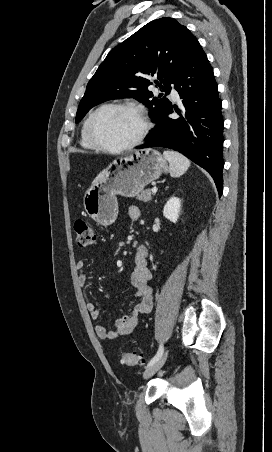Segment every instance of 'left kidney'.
<instances>
[{"mask_svg": "<svg viewBox=\"0 0 272 452\" xmlns=\"http://www.w3.org/2000/svg\"><path fill=\"white\" fill-rule=\"evenodd\" d=\"M181 211V200L177 197H171L163 208V216L173 223H176Z\"/></svg>", "mask_w": 272, "mask_h": 452, "instance_id": "obj_1", "label": "left kidney"}]
</instances>
